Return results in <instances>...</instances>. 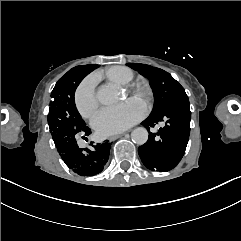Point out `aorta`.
<instances>
[{"mask_svg":"<svg viewBox=\"0 0 241 241\" xmlns=\"http://www.w3.org/2000/svg\"><path fill=\"white\" fill-rule=\"evenodd\" d=\"M97 100L103 105H112L119 98V91L113 85H102L96 93ZM131 139L138 145H143L148 140V131L144 127H137L131 133Z\"/></svg>","mask_w":241,"mask_h":241,"instance_id":"762f6f07","label":"aorta"}]
</instances>
